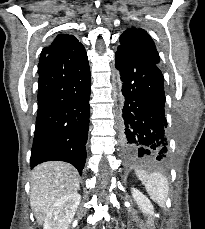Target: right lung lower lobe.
<instances>
[{"instance_id": "right-lung-lower-lobe-1", "label": "right lung lower lobe", "mask_w": 205, "mask_h": 229, "mask_svg": "<svg viewBox=\"0 0 205 229\" xmlns=\"http://www.w3.org/2000/svg\"><path fill=\"white\" fill-rule=\"evenodd\" d=\"M38 112L30 167L60 160L82 174L89 128V63L70 69L55 52L39 61Z\"/></svg>"}]
</instances>
